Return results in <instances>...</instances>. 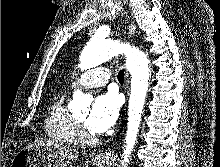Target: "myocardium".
<instances>
[{
    "label": "myocardium",
    "mask_w": 220,
    "mask_h": 167,
    "mask_svg": "<svg viewBox=\"0 0 220 167\" xmlns=\"http://www.w3.org/2000/svg\"><path fill=\"white\" fill-rule=\"evenodd\" d=\"M74 121L78 141L86 144H91L98 141L97 136L91 132L82 121H80L77 117H74Z\"/></svg>",
    "instance_id": "obj_1"
}]
</instances>
